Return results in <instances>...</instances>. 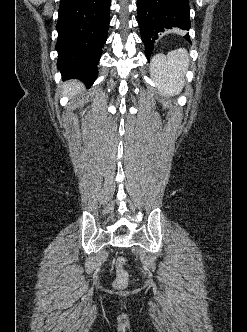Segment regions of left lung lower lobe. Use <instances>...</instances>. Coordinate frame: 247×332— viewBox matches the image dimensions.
<instances>
[{
	"label": "left lung lower lobe",
	"instance_id": "0a47b994",
	"mask_svg": "<svg viewBox=\"0 0 247 332\" xmlns=\"http://www.w3.org/2000/svg\"><path fill=\"white\" fill-rule=\"evenodd\" d=\"M137 9L141 38L148 58L165 29L178 27L189 30L191 27L188 0H137ZM184 38L190 42L189 35Z\"/></svg>",
	"mask_w": 247,
	"mask_h": 332
}]
</instances>
